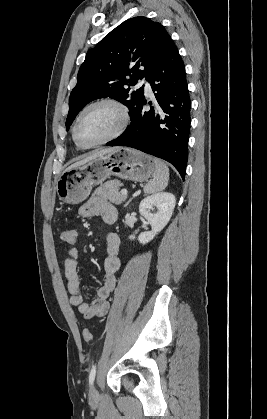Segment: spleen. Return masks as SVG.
Here are the masks:
<instances>
[{"instance_id": "obj_1", "label": "spleen", "mask_w": 267, "mask_h": 419, "mask_svg": "<svg viewBox=\"0 0 267 419\" xmlns=\"http://www.w3.org/2000/svg\"><path fill=\"white\" fill-rule=\"evenodd\" d=\"M155 172L153 180L144 186L145 194H154L163 191L169 181V168L160 159L154 158Z\"/></svg>"}]
</instances>
